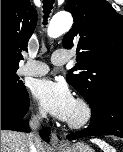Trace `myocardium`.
Masks as SVG:
<instances>
[{
	"instance_id": "1",
	"label": "myocardium",
	"mask_w": 123,
	"mask_h": 152,
	"mask_svg": "<svg viewBox=\"0 0 123 152\" xmlns=\"http://www.w3.org/2000/svg\"><path fill=\"white\" fill-rule=\"evenodd\" d=\"M75 104L79 108V115L76 118L68 119L67 125L72 129H82L91 122L93 109L90 103L83 98H77Z\"/></svg>"
}]
</instances>
